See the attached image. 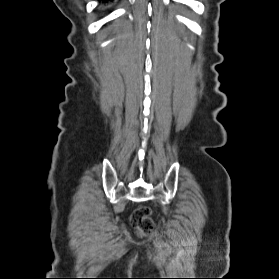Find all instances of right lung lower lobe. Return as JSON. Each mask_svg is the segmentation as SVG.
Segmentation results:
<instances>
[{"label": "right lung lower lobe", "mask_w": 279, "mask_h": 279, "mask_svg": "<svg viewBox=\"0 0 279 279\" xmlns=\"http://www.w3.org/2000/svg\"><path fill=\"white\" fill-rule=\"evenodd\" d=\"M101 1V0H100ZM108 0H103V2H107Z\"/></svg>", "instance_id": "1"}]
</instances>
